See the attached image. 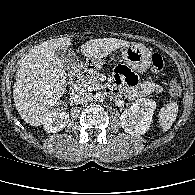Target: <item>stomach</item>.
Wrapping results in <instances>:
<instances>
[{
    "instance_id": "0dacf381",
    "label": "stomach",
    "mask_w": 195,
    "mask_h": 195,
    "mask_svg": "<svg viewBox=\"0 0 195 195\" xmlns=\"http://www.w3.org/2000/svg\"><path fill=\"white\" fill-rule=\"evenodd\" d=\"M122 58L127 65L138 72L146 71L151 64V53L141 43H130L121 49ZM90 64L94 69H99L103 65L101 59H91Z\"/></svg>"
}]
</instances>
